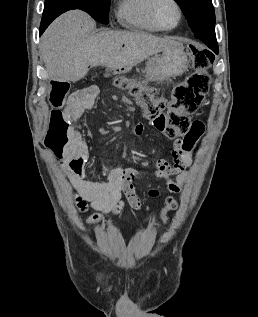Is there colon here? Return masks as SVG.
<instances>
[{
    "instance_id": "colon-1",
    "label": "colon",
    "mask_w": 258,
    "mask_h": 317,
    "mask_svg": "<svg viewBox=\"0 0 258 317\" xmlns=\"http://www.w3.org/2000/svg\"><path fill=\"white\" fill-rule=\"evenodd\" d=\"M190 52L193 56L194 72L184 83L173 89L168 101L156 99L150 87L126 77H118L115 80L117 86L129 90L135 97L144 108L146 118L155 128L170 139H178L190 131V115L196 111L205 97L209 85L208 70L215 59L214 54L204 48H191ZM68 91V82L55 81L50 94V102L55 109L50 114L46 146L55 153L67 147L74 137L73 120L63 108ZM175 208L176 200L169 197L161 214L165 222L168 221L167 213Z\"/></svg>"
}]
</instances>
